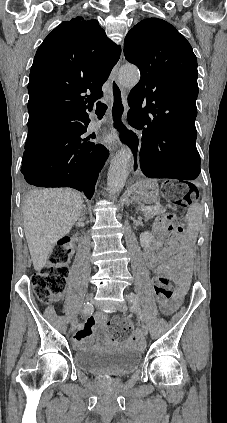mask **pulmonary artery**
<instances>
[{
	"instance_id": "1",
	"label": "pulmonary artery",
	"mask_w": 227,
	"mask_h": 423,
	"mask_svg": "<svg viewBox=\"0 0 227 423\" xmlns=\"http://www.w3.org/2000/svg\"><path fill=\"white\" fill-rule=\"evenodd\" d=\"M100 125H101V122H100V121H97V120H95V121H91V122H90V126H91L92 128L99 127Z\"/></svg>"
}]
</instances>
